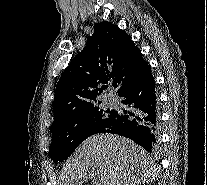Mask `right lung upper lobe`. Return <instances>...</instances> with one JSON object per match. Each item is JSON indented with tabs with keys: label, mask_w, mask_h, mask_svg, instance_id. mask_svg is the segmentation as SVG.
<instances>
[{
	"label": "right lung upper lobe",
	"mask_w": 207,
	"mask_h": 185,
	"mask_svg": "<svg viewBox=\"0 0 207 185\" xmlns=\"http://www.w3.org/2000/svg\"><path fill=\"white\" fill-rule=\"evenodd\" d=\"M150 72V65L125 31L109 22L97 23L85 48L71 60L57 83L51 128L98 108L97 97L105 87L99 88L101 84L113 82L118 89Z\"/></svg>",
	"instance_id": "1"
}]
</instances>
